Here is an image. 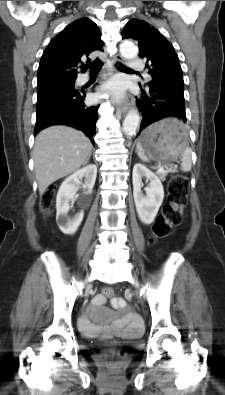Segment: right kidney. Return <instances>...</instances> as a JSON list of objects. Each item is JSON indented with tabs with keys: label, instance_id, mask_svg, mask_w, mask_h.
I'll return each mask as SVG.
<instances>
[{
	"label": "right kidney",
	"instance_id": "1",
	"mask_svg": "<svg viewBox=\"0 0 225 395\" xmlns=\"http://www.w3.org/2000/svg\"><path fill=\"white\" fill-rule=\"evenodd\" d=\"M96 176L97 167L91 164L76 171L61 184L56 198V223L64 234H74L83 220L82 211L73 218L68 216L69 202L76 194L77 186L81 184L80 180L85 178L83 187L87 189V192H90L94 187Z\"/></svg>",
	"mask_w": 225,
	"mask_h": 395
}]
</instances>
